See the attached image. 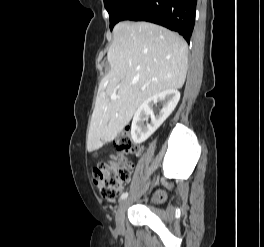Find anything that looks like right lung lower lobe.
Listing matches in <instances>:
<instances>
[{
    "instance_id": "obj_1",
    "label": "right lung lower lobe",
    "mask_w": 264,
    "mask_h": 247,
    "mask_svg": "<svg viewBox=\"0 0 264 247\" xmlns=\"http://www.w3.org/2000/svg\"><path fill=\"white\" fill-rule=\"evenodd\" d=\"M197 0H132L122 20L147 21L178 32L189 42L194 28Z\"/></svg>"
}]
</instances>
